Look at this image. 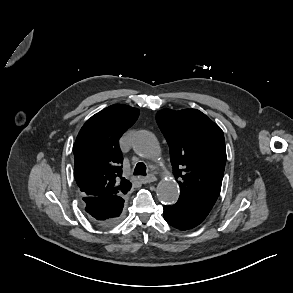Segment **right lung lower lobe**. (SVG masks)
Wrapping results in <instances>:
<instances>
[{"label": "right lung lower lobe", "mask_w": 293, "mask_h": 293, "mask_svg": "<svg viewBox=\"0 0 293 293\" xmlns=\"http://www.w3.org/2000/svg\"><path fill=\"white\" fill-rule=\"evenodd\" d=\"M88 218L103 226H112L120 219L124 207L123 196L84 197Z\"/></svg>", "instance_id": "1"}]
</instances>
